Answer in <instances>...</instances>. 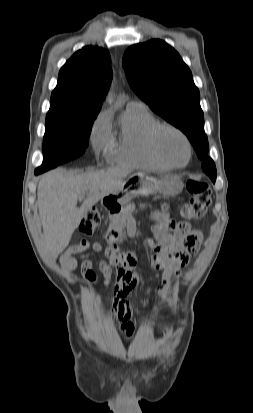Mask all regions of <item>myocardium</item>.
I'll return each instance as SVG.
<instances>
[{
	"label": "myocardium",
	"instance_id": "myocardium-1",
	"mask_svg": "<svg viewBox=\"0 0 253 413\" xmlns=\"http://www.w3.org/2000/svg\"><path fill=\"white\" fill-rule=\"evenodd\" d=\"M164 130H170L176 134H178L183 141L185 142L186 148H187V159L183 164H175L172 163L171 161H169L161 152L160 148H159V143H158V138H159V134L164 131ZM148 146L149 149L152 153V155L163 165H165L166 167L169 168H184L185 166L188 165V163L191 160L192 157V145L191 142L189 140V138L187 137V135L178 127L170 124V123H156L154 126L151 127V129L148 132Z\"/></svg>",
	"mask_w": 253,
	"mask_h": 413
}]
</instances>
